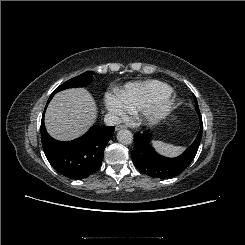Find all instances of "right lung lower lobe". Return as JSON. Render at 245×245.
<instances>
[{
	"label": "right lung lower lobe",
	"mask_w": 245,
	"mask_h": 245,
	"mask_svg": "<svg viewBox=\"0 0 245 245\" xmlns=\"http://www.w3.org/2000/svg\"><path fill=\"white\" fill-rule=\"evenodd\" d=\"M52 97L53 95L50 96L47 105ZM114 128V126H92L88 132L75 140L57 141L47 133L43 113L41 121L43 150L49 163L60 174L70 179H83L100 168L104 149L114 134Z\"/></svg>",
	"instance_id": "1"
}]
</instances>
